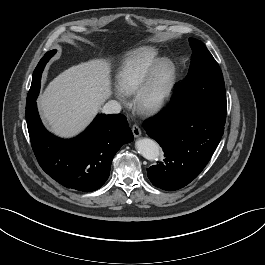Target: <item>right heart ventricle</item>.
I'll use <instances>...</instances> for the list:
<instances>
[{"label": "right heart ventricle", "mask_w": 265, "mask_h": 265, "mask_svg": "<svg viewBox=\"0 0 265 265\" xmlns=\"http://www.w3.org/2000/svg\"><path fill=\"white\" fill-rule=\"evenodd\" d=\"M160 59L158 51L149 46L133 50L123 61L116 76V85L123 95L134 94Z\"/></svg>", "instance_id": "obj_1"}]
</instances>
